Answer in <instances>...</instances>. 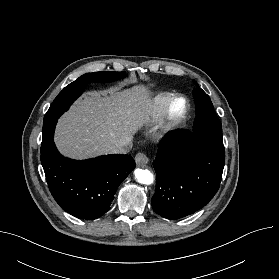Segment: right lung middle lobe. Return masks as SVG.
<instances>
[{"label": "right lung middle lobe", "mask_w": 279, "mask_h": 279, "mask_svg": "<svg viewBox=\"0 0 279 279\" xmlns=\"http://www.w3.org/2000/svg\"><path fill=\"white\" fill-rule=\"evenodd\" d=\"M125 76L126 72L103 71L86 73L66 86L55 98L44 117L41 154L44 153L53 143V134L58 118L61 116V114H63L64 111H67L74 100L81 95L87 83L112 82L124 78Z\"/></svg>", "instance_id": "right-lung-middle-lobe-1"}]
</instances>
